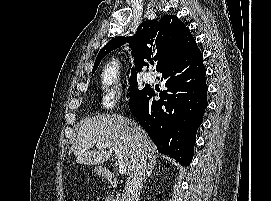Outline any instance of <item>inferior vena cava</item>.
<instances>
[{"label":"inferior vena cava","mask_w":271,"mask_h":201,"mask_svg":"<svg viewBox=\"0 0 271 201\" xmlns=\"http://www.w3.org/2000/svg\"><path fill=\"white\" fill-rule=\"evenodd\" d=\"M136 138L144 144L147 135L143 129L137 127ZM147 155L144 150H140L138 157L133 166L132 172L129 174L121 201H138L142 182L147 168Z\"/></svg>","instance_id":"inferior-vena-cava-1"}]
</instances>
